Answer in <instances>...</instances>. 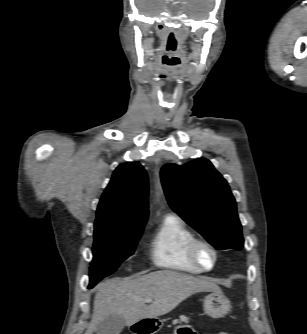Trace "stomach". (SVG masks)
Listing matches in <instances>:
<instances>
[{
  "label": "stomach",
  "mask_w": 307,
  "mask_h": 334,
  "mask_svg": "<svg viewBox=\"0 0 307 334\" xmlns=\"http://www.w3.org/2000/svg\"><path fill=\"white\" fill-rule=\"evenodd\" d=\"M203 309L205 314L212 318H222L230 311L231 304L221 291H212L205 297ZM141 323L152 332L151 334H154V332L161 328L162 321L154 318L153 320H145Z\"/></svg>",
  "instance_id": "obj_1"
}]
</instances>
